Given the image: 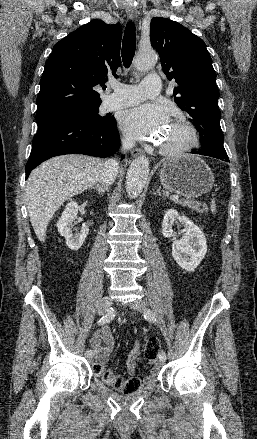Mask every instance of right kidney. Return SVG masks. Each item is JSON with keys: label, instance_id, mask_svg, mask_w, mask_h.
Instances as JSON below:
<instances>
[{"label": "right kidney", "instance_id": "ca27d5eb", "mask_svg": "<svg viewBox=\"0 0 257 439\" xmlns=\"http://www.w3.org/2000/svg\"><path fill=\"white\" fill-rule=\"evenodd\" d=\"M79 206L76 202L71 201L65 206L62 212L61 218L58 220L56 226L61 236L65 237L66 245L71 250H78L81 248L86 236L89 233V229L86 225H83L79 233L73 234L72 224L77 218Z\"/></svg>", "mask_w": 257, "mask_h": 439}]
</instances>
